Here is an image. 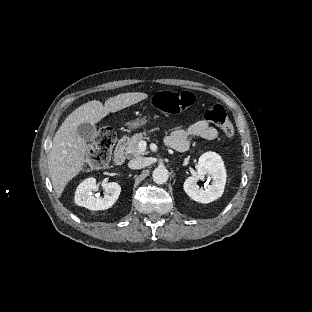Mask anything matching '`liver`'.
<instances>
[{
    "mask_svg": "<svg viewBox=\"0 0 312 312\" xmlns=\"http://www.w3.org/2000/svg\"><path fill=\"white\" fill-rule=\"evenodd\" d=\"M147 97L141 92L123 93L107 99L104 105L97 100L89 101L68 115L56 132L48 155L49 175L57 197L84 165L88 146L78 135L77 127L86 122L94 125L110 112H117Z\"/></svg>",
    "mask_w": 312,
    "mask_h": 312,
    "instance_id": "1",
    "label": "liver"
}]
</instances>
